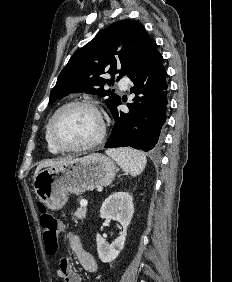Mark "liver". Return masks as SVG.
<instances>
[{
	"mask_svg": "<svg viewBox=\"0 0 232 282\" xmlns=\"http://www.w3.org/2000/svg\"><path fill=\"white\" fill-rule=\"evenodd\" d=\"M70 160L71 159H61V160H58V161L48 160V161L41 162L35 170L34 177L36 176V174L38 172L41 171L42 168L56 166V165L62 164L64 162H67V161H70Z\"/></svg>",
	"mask_w": 232,
	"mask_h": 282,
	"instance_id": "6515ba94",
	"label": "liver"
}]
</instances>
